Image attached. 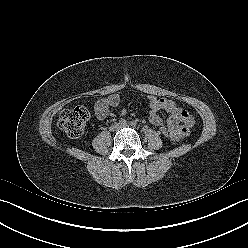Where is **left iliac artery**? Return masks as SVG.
Segmentation results:
<instances>
[{
  "label": "left iliac artery",
  "instance_id": "44dca946",
  "mask_svg": "<svg viewBox=\"0 0 248 248\" xmlns=\"http://www.w3.org/2000/svg\"><path fill=\"white\" fill-rule=\"evenodd\" d=\"M130 124H131V126H136V122L135 121H131Z\"/></svg>",
  "mask_w": 248,
  "mask_h": 248
}]
</instances>
